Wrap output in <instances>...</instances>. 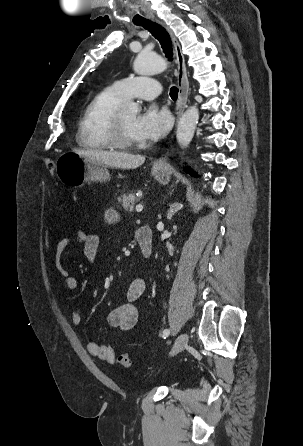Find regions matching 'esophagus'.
Wrapping results in <instances>:
<instances>
[{"mask_svg":"<svg viewBox=\"0 0 303 446\" xmlns=\"http://www.w3.org/2000/svg\"><path fill=\"white\" fill-rule=\"evenodd\" d=\"M156 22L163 26L166 31L169 33L172 43L174 45L175 54H176V63H177V71H176V77H177V83L179 87V96H178V112H177V121L183 114L186 103L188 99V93H189V82L187 78V71H186V64H185V57L181 49V45L177 39V37L174 35L173 31L169 26H167L165 23H163L160 20L156 19ZM169 152L167 151L163 156L158 158L155 161V166L158 167H165L167 165Z\"/></svg>","mask_w":303,"mask_h":446,"instance_id":"34e87169","label":"esophagus"}]
</instances>
